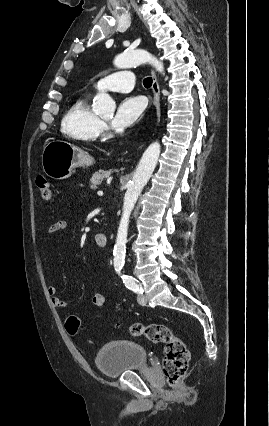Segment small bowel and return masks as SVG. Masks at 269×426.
<instances>
[{
	"label": "small bowel",
	"mask_w": 269,
	"mask_h": 426,
	"mask_svg": "<svg viewBox=\"0 0 269 426\" xmlns=\"http://www.w3.org/2000/svg\"><path fill=\"white\" fill-rule=\"evenodd\" d=\"M67 228V222L63 220L55 221L48 229L49 235H54L65 231ZM47 292L51 297L53 306L58 310H64L67 308V302L58 295L57 289L54 286H49ZM107 303L105 295L97 293L92 298V304L96 308H102Z\"/></svg>",
	"instance_id": "1"
}]
</instances>
